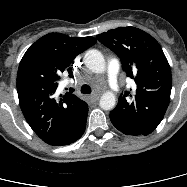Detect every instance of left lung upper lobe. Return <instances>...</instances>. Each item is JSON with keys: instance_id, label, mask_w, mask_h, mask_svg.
Returning a JSON list of instances; mask_svg holds the SVG:
<instances>
[{"instance_id": "left-lung-upper-lobe-1", "label": "left lung upper lobe", "mask_w": 187, "mask_h": 187, "mask_svg": "<svg viewBox=\"0 0 187 187\" xmlns=\"http://www.w3.org/2000/svg\"><path fill=\"white\" fill-rule=\"evenodd\" d=\"M120 59L136 89L121 94L110 112L130 128L148 135L162 121L170 102L172 76L159 43L135 27H119L97 35ZM131 90V89H130Z\"/></svg>"}]
</instances>
